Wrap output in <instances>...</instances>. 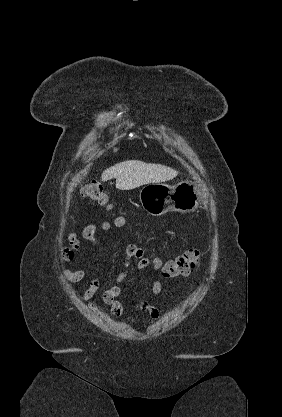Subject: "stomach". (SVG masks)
Segmentation results:
<instances>
[{"instance_id":"1","label":"stomach","mask_w":282,"mask_h":417,"mask_svg":"<svg viewBox=\"0 0 282 417\" xmlns=\"http://www.w3.org/2000/svg\"><path fill=\"white\" fill-rule=\"evenodd\" d=\"M139 198L144 211L153 217H160L169 211L191 213L200 204L198 190H194L190 182H178L174 186L151 182L141 188Z\"/></svg>"}]
</instances>
